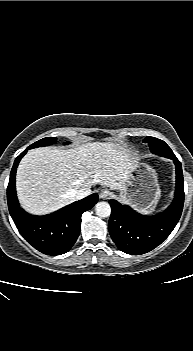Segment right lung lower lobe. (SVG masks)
I'll use <instances>...</instances> for the list:
<instances>
[{"label":"right lung lower lobe","instance_id":"obj_1","mask_svg":"<svg viewBox=\"0 0 193 351\" xmlns=\"http://www.w3.org/2000/svg\"><path fill=\"white\" fill-rule=\"evenodd\" d=\"M27 150L15 159L11 170L7 188L10 215L20 234L35 249L47 255L64 254L79 236L82 213L97 203L98 195L94 193L46 216L27 213L19 206L15 189L16 169Z\"/></svg>","mask_w":193,"mask_h":351}]
</instances>
